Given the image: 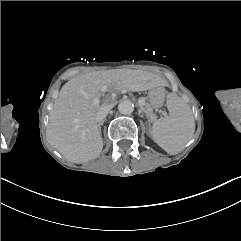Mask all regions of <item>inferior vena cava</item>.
<instances>
[{"mask_svg": "<svg viewBox=\"0 0 241 241\" xmlns=\"http://www.w3.org/2000/svg\"><path fill=\"white\" fill-rule=\"evenodd\" d=\"M111 109H106V110H102V111H99L96 115V121L98 124H103L104 122V119L106 118V116L108 115L109 111Z\"/></svg>", "mask_w": 241, "mask_h": 241, "instance_id": "obj_1", "label": "inferior vena cava"}]
</instances>
